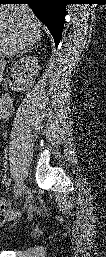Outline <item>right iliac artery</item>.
<instances>
[{
    "mask_svg": "<svg viewBox=\"0 0 106 257\" xmlns=\"http://www.w3.org/2000/svg\"><path fill=\"white\" fill-rule=\"evenodd\" d=\"M9 182H11L10 179H9ZM18 190H19V183L18 182L12 183V194H13V196L17 195Z\"/></svg>",
    "mask_w": 106,
    "mask_h": 257,
    "instance_id": "82829eb1",
    "label": "right iliac artery"
}]
</instances>
